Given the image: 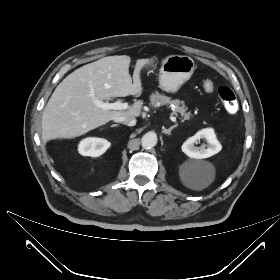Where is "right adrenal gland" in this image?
Here are the masks:
<instances>
[{
  "label": "right adrenal gland",
  "mask_w": 280,
  "mask_h": 280,
  "mask_svg": "<svg viewBox=\"0 0 280 280\" xmlns=\"http://www.w3.org/2000/svg\"><path fill=\"white\" fill-rule=\"evenodd\" d=\"M118 124H112L110 127H118Z\"/></svg>",
  "instance_id": "obj_1"
}]
</instances>
